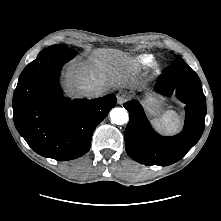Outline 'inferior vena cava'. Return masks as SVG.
I'll return each instance as SVG.
<instances>
[{"label": "inferior vena cava", "instance_id": "inferior-vena-cava-1", "mask_svg": "<svg viewBox=\"0 0 221 221\" xmlns=\"http://www.w3.org/2000/svg\"><path fill=\"white\" fill-rule=\"evenodd\" d=\"M103 93V88L97 85H89L84 87L83 95L88 98L99 97Z\"/></svg>", "mask_w": 221, "mask_h": 221}]
</instances>
